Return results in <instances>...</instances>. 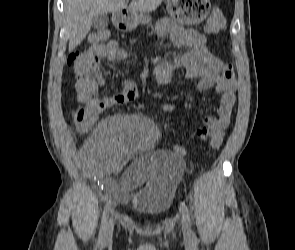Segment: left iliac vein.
Masks as SVG:
<instances>
[{"instance_id":"left-iliac-vein-1","label":"left iliac vein","mask_w":295,"mask_h":250,"mask_svg":"<svg viewBox=\"0 0 295 250\" xmlns=\"http://www.w3.org/2000/svg\"><path fill=\"white\" fill-rule=\"evenodd\" d=\"M181 213H183L182 210H181ZM181 226H182V232H183L184 237L186 239H190L191 238L190 229H189L188 222H187L184 215L182 216V219H181Z\"/></svg>"}]
</instances>
